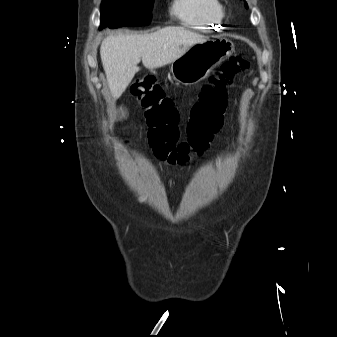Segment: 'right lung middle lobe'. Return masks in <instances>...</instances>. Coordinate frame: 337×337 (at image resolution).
<instances>
[{
    "label": "right lung middle lobe",
    "mask_w": 337,
    "mask_h": 337,
    "mask_svg": "<svg viewBox=\"0 0 337 337\" xmlns=\"http://www.w3.org/2000/svg\"><path fill=\"white\" fill-rule=\"evenodd\" d=\"M154 0H102L99 30L148 25Z\"/></svg>",
    "instance_id": "obj_1"
}]
</instances>
